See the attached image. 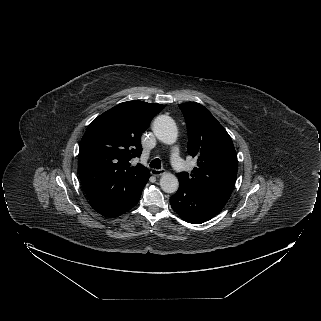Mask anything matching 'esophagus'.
Instances as JSON below:
<instances>
[{"mask_svg": "<svg viewBox=\"0 0 321 321\" xmlns=\"http://www.w3.org/2000/svg\"><path fill=\"white\" fill-rule=\"evenodd\" d=\"M166 171L164 169H152L151 174L154 176H161L164 175Z\"/></svg>", "mask_w": 321, "mask_h": 321, "instance_id": "1", "label": "esophagus"}]
</instances>
